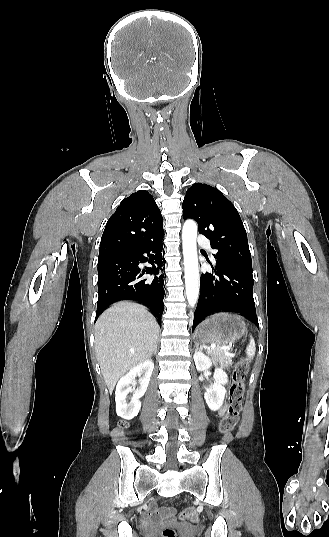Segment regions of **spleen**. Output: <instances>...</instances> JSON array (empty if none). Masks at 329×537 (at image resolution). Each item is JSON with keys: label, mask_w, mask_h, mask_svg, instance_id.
Returning a JSON list of instances; mask_svg holds the SVG:
<instances>
[{"label": "spleen", "mask_w": 329, "mask_h": 537, "mask_svg": "<svg viewBox=\"0 0 329 537\" xmlns=\"http://www.w3.org/2000/svg\"><path fill=\"white\" fill-rule=\"evenodd\" d=\"M255 351H256V347H255V341L254 339L251 337L250 338V342H249V345L247 346V349H246V354L249 358H252L254 355H255Z\"/></svg>", "instance_id": "spleen-1"}]
</instances>
